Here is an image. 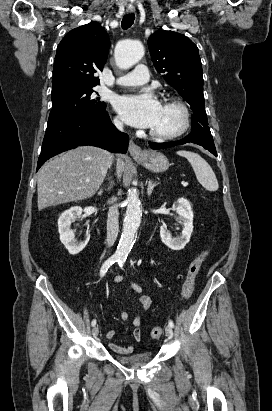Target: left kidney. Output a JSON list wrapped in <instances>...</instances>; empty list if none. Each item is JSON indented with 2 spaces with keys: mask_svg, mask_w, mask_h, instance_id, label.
<instances>
[{
  "mask_svg": "<svg viewBox=\"0 0 272 411\" xmlns=\"http://www.w3.org/2000/svg\"><path fill=\"white\" fill-rule=\"evenodd\" d=\"M173 209L183 223V230L179 237L173 238L171 233L160 228L161 241L172 250H181L190 241L193 232V211L189 201L185 198H179L173 205Z\"/></svg>",
  "mask_w": 272,
  "mask_h": 411,
  "instance_id": "obj_1",
  "label": "left kidney"
}]
</instances>
